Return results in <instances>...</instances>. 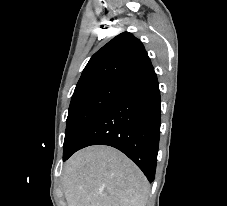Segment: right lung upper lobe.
<instances>
[{"mask_svg":"<svg viewBox=\"0 0 227 206\" xmlns=\"http://www.w3.org/2000/svg\"><path fill=\"white\" fill-rule=\"evenodd\" d=\"M153 69L141 41L129 32H123L91 57L75 90L107 79L130 82Z\"/></svg>","mask_w":227,"mask_h":206,"instance_id":"obj_1","label":"right lung upper lobe"}]
</instances>
